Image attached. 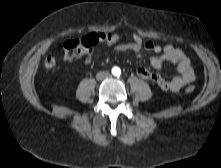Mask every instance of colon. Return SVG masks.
<instances>
[{
	"label": "colon",
	"mask_w": 221,
	"mask_h": 168,
	"mask_svg": "<svg viewBox=\"0 0 221 168\" xmlns=\"http://www.w3.org/2000/svg\"><path fill=\"white\" fill-rule=\"evenodd\" d=\"M125 38L126 35L124 32L110 34L108 32H101L100 34L93 33L82 38L71 39L64 44L63 56L65 60H72L86 54L101 41L107 46H113L118 45L120 42L124 41ZM128 39L132 44L139 48L144 47L146 44L145 39L137 33H130ZM55 65L56 59L53 56H48L44 61V66L47 69H52ZM186 92L193 93L194 87H187Z\"/></svg>",
	"instance_id": "1"
}]
</instances>
